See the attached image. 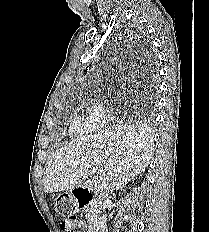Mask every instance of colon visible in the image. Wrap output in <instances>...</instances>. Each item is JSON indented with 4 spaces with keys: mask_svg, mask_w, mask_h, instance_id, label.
Returning <instances> with one entry per match:
<instances>
[{
    "mask_svg": "<svg viewBox=\"0 0 209 232\" xmlns=\"http://www.w3.org/2000/svg\"><path fill=\"white\" fill-rule=\"evenodd\" d=\"M80 225H81L80 221H64L62 223V228L67 232H76L74 230V226H80Z\"/></svg>",
    "mask_w": 209,
    "mask_h": 232,
    "instance_id": "5ec220e1",
    "label": "colon"
}]
</instances>
